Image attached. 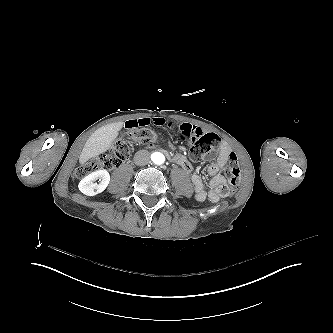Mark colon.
I'll return each instance as SVG.
<instances>
[{
  "mask_svg": "<svg viewBox=\"0 0 333 333\" xmlns=\"http://www.w3.org/2000/svg\"><path fill=\"white\" fill-rule=\"evenodd\" d=\"M181 129L184 133L183 136L185 140L189 141L193 139L192 141L195 142V145L190 151V158L192 161L201 160L211 151L212 148L219 146V139L213 134H206L202 127L198 126L194 128V138L190 124L186 123L181 125ZM156 139V134L146 128L138 127L126 129L124 138L116 139L112 143L110 149L106 151V154L94 157L83 165L78 166L74 170V176L82 177L98 171L116 168L120 165L121 161L128 159L132 150L131 143L150 146ZM228 173L230 187H226L224 190L227 193L234 190L240 182L241 169L238 158L235 154H231L229 156Z\"/></svg>",
  "mask_w": 333,
  "mask_h": 333,
  "instance_id": "colon-1",
  "label": "colon"
}]
</instances>
